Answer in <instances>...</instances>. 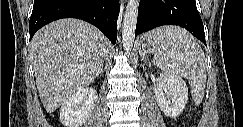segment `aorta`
Listing matches in <instances>:
<instances>
[{"label":"aorta","mask_w":243,"mask_h":127,"mask_svg":"<svg viewBox=\"0 0 243 127\" xmlns=\"http://www.w3.org/2000/svg\"><path fill=\"white\" fill-rule=\"evenodd\" d=\"M138 6V0H129L124 14L122 27V44L124 50L127 53L131 51L133 46L138 17Z\"/></svg>","instance_id":"obj_1"}]
</instances>
